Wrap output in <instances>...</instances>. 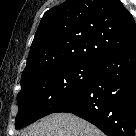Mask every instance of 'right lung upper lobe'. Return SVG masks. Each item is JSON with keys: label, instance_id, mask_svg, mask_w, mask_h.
Returning <instances> with one entry per match:
<instances>
[{"label": "right lung upper lobe", "instance_id": "obj_1", "mask_svg": "<svg viewBox=\"0 0 136 136\" xmlns=\"http://www.w3.org/2000/svg\"><path fill=\"white\" fill-rule=\"evenodd\" d=\"M136 41V22L119 0H66L43 15L21 82L52 66L97 64Z\"/></svg>", "mask_w": 136, "mask_h": 136}]
</instances>
